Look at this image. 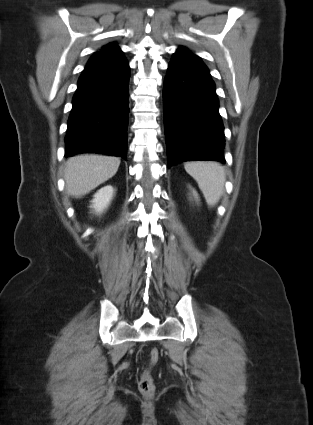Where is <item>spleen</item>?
Masks as SVG:
<instances>
[{"label":"spleen","instance_id":"spleen-1","mask_svg":"<svg viewBox=\"0 0 313 425\" xmlns=\"http://www.w3.org/2000/svg\"><path fill=\"white\" fill-rule=\"evenodd\" d=\"M184 168L196 180L207 204L216 205L224 191V168L216 162H187Z\"/></svg>","mask_w":313,"mask_h":425}]
</instances>
